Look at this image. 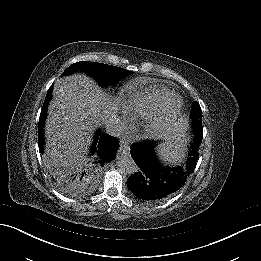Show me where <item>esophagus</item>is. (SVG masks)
<instances>
[{"instance_id":"obj_1","label":"esophagus","mask_w":261,"mask_h":261,"mask_svg":"<svg viewBox=\"0 0 261 261\" xmlns=\"http://www.w3.org/2000/svg\"><path fill=\"white\" fill-rule=\"evenodd\" d=\"M129 150H130V147H129V142L126 138H122L120 140V148H119V151L122 155H128L129 154Z\"/></svg>"}]
</instances>
